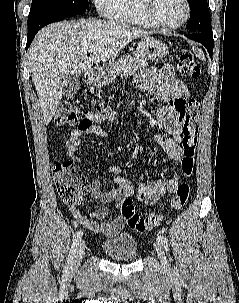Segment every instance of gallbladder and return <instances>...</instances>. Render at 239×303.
<instances>
[{
	"mask_svg": "<svg viewBox=\"0 0 239 303\" xmlns=\"http://www.w3.org/2000/svg\"><path fill=\"white\" fill-rule=\"evenodd\" d=\"M81 82L78 75H69L66 79L63 94L65 96H72L80 89Z\"/></svg>",
	"mask_w": 239,
	"mask_h": 303,
	"instance_id": "bac80fb5",
	"label": "gallbladder"
}]
</instances>
